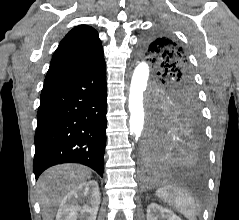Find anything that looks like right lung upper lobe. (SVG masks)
<instances>
[{
	"mask_svg": "<svg viewBox=\"0 0 239 220\" xmlns=\"http://www.w3.org/2000/svg\"><path fill=\"white\" fill-rule=\"evenodd\" d=\"M103 56L96 30L86 25L77 26L63 38L56 49L44 85L79 75L103 62Z\"/></svg>",
	"mask_w": 239,
	"mask_h": 220,
	"instance_id": "1",
	"label": "right lung upper lobe"
}]
</instances>
